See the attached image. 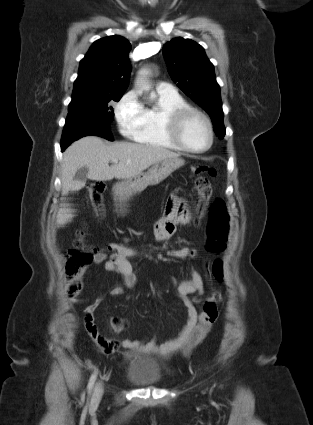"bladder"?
I'll return each mask as SVG.
<instances>
[{
	"mask_svg": "<svg viewBox=\"0 0 313 425\" xmlns=\"http://www.w3.org/2000/svg\"><path fill=\"white\" fill-rule=\"evenodd\" d=\"M125 377L137 386H150L161 381V372L151 358L138 356L128 361Z\"/></svg>",
	"mask_w": 313,
	"mask_h": 425,
	"instance_id": "31cf9c89",
	"label": "bladder"
}]
</instances>
